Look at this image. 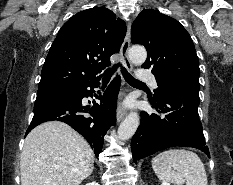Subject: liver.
Listing matches in <instances>:
<instances>
[{
  "instance_id": "6515ba94",
  "label": "liver",
  "mask_w": 233,
  "mask_h": 185,
  "mask_svg": "<svg viewBox=\"0 0 233 185\" xmlns=\"http://www.w3.org/2000/svg\"><path fill=\"white\" fill-rule=\"evenodd\" d=\"M94 152L70 126L50 121L25 138L21 185H80L93 171Z\"/></svg>"
}]
</instances>
